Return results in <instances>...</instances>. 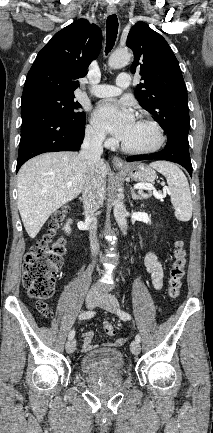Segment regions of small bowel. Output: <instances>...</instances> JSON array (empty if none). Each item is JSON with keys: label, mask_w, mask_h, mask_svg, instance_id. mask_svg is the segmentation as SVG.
Here are the masks:
<instances>
[{"label": "small bowel", "mask_w": 213, "mask_h": 433, "mask_svg": "<svg viewBox=\"0 0 213 433\" xmlns=\"http://www.w3.org/2000/svg\"><path fill=\"white\" fill-rule=\"evenodd\" d=\"M144 265L150 276L151 284L155 290L163 287L164 272L158 257L153 252H148L144 258ZM93 333L90 331L83 333L82 351L87 352L93 348ZM126 342V338H118L114 342L108 343L109 346H121Z\"/></svg>", "instance_id": "c3829d8e"}]
</instances>
